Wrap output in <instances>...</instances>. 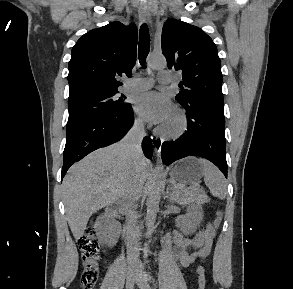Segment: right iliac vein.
Segmentation results:
<instances>
[{"label":"right iliac vein","mask_w":293,"mask_h":289,"mask_svg":"<svg viewBox=\"0 0 293 289\" xmlns=\"http://www.w3.org/2000/svg\"><path fill=\"white\" fill-rule=\"evenodd\" d=\"M136 270L137 266L136 265H131L128 275H127V282H126V289H133L134 287V282L136 279Z\"/></svg>","instance_id":"obj_1"}]
</instances>
